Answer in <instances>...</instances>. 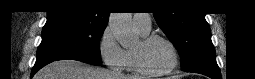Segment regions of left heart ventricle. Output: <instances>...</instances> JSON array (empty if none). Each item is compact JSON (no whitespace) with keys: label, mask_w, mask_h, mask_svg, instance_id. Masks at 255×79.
Masks as SVG:
<instances>
[{"label":"left heart ventricle","mask_w":255,"mask_h":79,"mask_svg":"<svg viewBox=\"0 0 255 79\" xmlns=\"http://www.w3.org/2000/svg\"><path fill=\"white\" fill-rule=\"evenodd\" d=\"M134 49L140 51L144 65L151 71L164 70L171 63V50L160 39H156L146 46H142L141 42H139Z\"/></svg>","instance_id":"obj_1"}]
</instances>
